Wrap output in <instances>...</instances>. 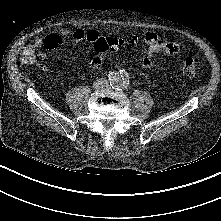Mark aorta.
<instances>
[{"label":"aorta","mask_w":221,"mask_h":221,"mask_svg":"<svg viewBox=\"0 0 221 221\" xmlns=\"http://www.w3.org/2000/svg\"><path fill=\"white\" fill-rule=\"evenodd\" d=\"M111 83L115 88H124L129 84V77L123 73H113L111 75Z\"/></svg>","instance_id":"aorta-1"}]
</instances>
